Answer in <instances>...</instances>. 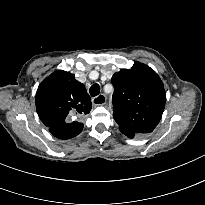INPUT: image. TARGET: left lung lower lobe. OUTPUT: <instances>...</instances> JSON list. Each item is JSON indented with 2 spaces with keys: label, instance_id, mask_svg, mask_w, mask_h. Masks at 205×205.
Masks as SVG:
<instances>
[{
  "label": "left lung lower lobe",
  "instance_id": "left-lung-lower-lobe-1",
  "mask_svg": "<svg viewBox=\"0 0 205 205\" xmlns=\"http://www.w3.org/2000/svg\"><path fill=\"white\" fill-rule=\"evenodd\" d=\"M120 131L129 138H133L137 134V133L127 131V130H124V129H120Z\"/></svg>",
  "mask_w": 205,
  "mask_h": 205
}]
</instances>
